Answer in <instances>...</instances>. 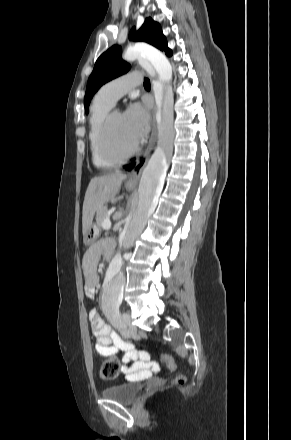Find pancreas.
Instances as JSON below:
<instances>
[{
  "instance_id": "1",
  "label": "pancreas",
  "mask_w": 291,
  "mask_h": 440,
  "mask_svg": "<svg viewBox=\"0 0 291 440\" xmlns=\"http://www.w3.org/2000/svg\"><path fill=\"white\" fill-rule=\"evenodd\" d=\"M106 213H107V207L106 206L102 207L101 209H99L97 211L96 222H97L98 228L102 227L103 221L106 218Z\"/></svg>"
}]
</instances>
